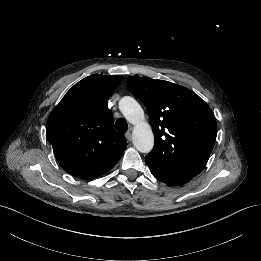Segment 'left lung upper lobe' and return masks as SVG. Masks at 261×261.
Returning a JSON list of instances; mask_svg holds the SVG:
<instances>
[{"label":"left lung upper lobe","mask_w":261,"mask_h":261,"mask_svg":"<svg viewBox=\"0 0 261 261\" xmlns=\"http://www.w3.org/2000/svg\"><path fill=\"white\" fill-rule=\"evenodd\" d=\"M127 84L150 117L155 144L146 160L174 173L198 175L217 135L210 107L193 91L168 81L130 76Z\"/></svg>","instance_id":"5c2ea615"}]
</instances>
